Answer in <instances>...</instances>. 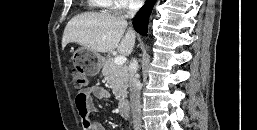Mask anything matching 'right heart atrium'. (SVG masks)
<instances>
[{
  "mask_svg": "<svg viewBox=\"0 0 257 130\" xmlns=\"http://www.w3.org/2000/svg\"><path fill=\"white\" fill-rule=\"evenodd\" d=\"M110 8L122 10L139 4L140 0H110Z\"/></svg>",
  "mask_w": 257,
  "mask_h": 130,
  "instance_id": "1",
  "label": "right heart atrium"
}]
</instances>
